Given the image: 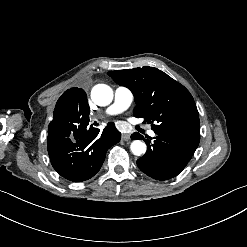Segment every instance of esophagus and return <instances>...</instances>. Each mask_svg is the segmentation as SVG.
<instances>
[{"label": "esophagus", "mask_w": 247, "mask_h": 247, "mask_svg": "<svg viewBox=\"0 0 247 247\" xmlns=\"http://www.w3.org/2000/svg\"><path fill=\"white\" fill-rule=\"evenodd\" d=\"M129 139H130V134H128V133L122 134V140L127 141Z\"/></svg>", "instance_id": "obj_1"}]
</instances>
